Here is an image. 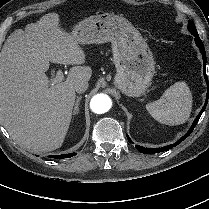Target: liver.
I'll return each mask as SVG.
<instances>
[{"label": "liver", "mask_w": 209, "mask_h": 209, "mask_svg": "<svg viewBox=\"0 0 209 209\" xmlns=\"http://www.w3.org/2000/svg\"><path fill=\"white\" fill-rule=\"evenodd\" d=\"M85 53L48 13L10 34L0 52V122L21 146L40 152L59 148L75 105V86L92 75ZM49 62L73 66L64 82L50 85Z\"/></svg>", "instance_id": "1"}]
</instances>
